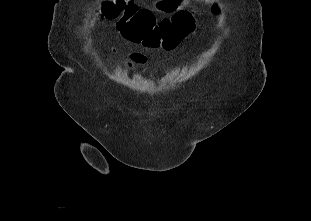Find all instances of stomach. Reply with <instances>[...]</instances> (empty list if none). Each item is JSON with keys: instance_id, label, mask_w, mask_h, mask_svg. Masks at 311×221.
<instances>
[{"instance_id": "obj_1", "label": "stomach", "mask_w": 311, "mask_h": 221, "mask_svg": "<svg viewBox=\"0 0 311 221\" xmlns=\"http://www.w3.org/2000/svg\"><path fill=\"white\" fill-rule=\"evenodd\" d=\"M162 4H168L167 0H155V6L157 10H162L161 6ZM181 0H175V6H180Z\"/></svg>"}]
</instances>
